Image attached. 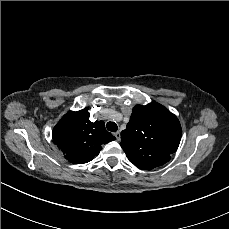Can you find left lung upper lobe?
I'll return each mask as SVG.
<instances>
[{
  "mask_svg": "<svg viewBox=\"0 0 229 229\" xmlns=\"http://www.w3.org/2000/svg\"><path fill=\"white\" fill-rule=\"evenodd\" d=\"M178 118L157 102L133 108L121 132V147L129 161L140 169L152 170L168 162L181 139Z\"/></svg>",
  "mask_w": 229,
  "mask_h": 229,
  "instance_id": "left-lung-upper-lobe-1",
  "label": "left lung upper lobe"
}]
</instances>
